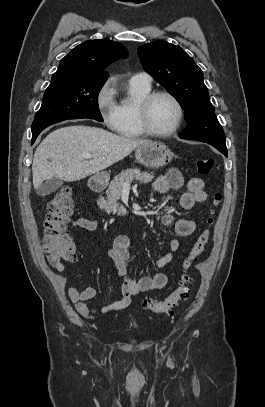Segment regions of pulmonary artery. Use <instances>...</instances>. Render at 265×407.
I'll return each instance as SVG.
<instances>
[{"mask_svg":"<svg viewBox=\"0 0 265 407\" xmlns=\"http://www.w3.org/2000/svg\"><path fill=\"white\" fill-rule=\"evenodd\" d=\"M131 80L136 81V82H140V83H143V84H146V85H150L151 81H152V78L146 72H139V73H136L135 75H133Z\"/></svg>","mask_w":265,"mask_h":407,"instance_id":"obj_1","label":"pulmonary artery"}]
</instances>
